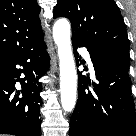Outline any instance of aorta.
Instances as JSON below:
<instances>
[{
  "label": "aorta",
  "mask_w": 136,
  "mask_h": 136,
  "mask_svg": "<svg viewBox=\"0 0 136 136\" xmlns=\"http://www.w3.org/2000/svg\"><path fill=\"white\" fill-rule=\"evenodd\" d=\"M53 38L58 48L61 105L64 111L70 112L76 103L77 74L71 48V26L67 19L55 22Z\"/></svg>",
  "instance_id": "obj_1"
}]
</instances>
